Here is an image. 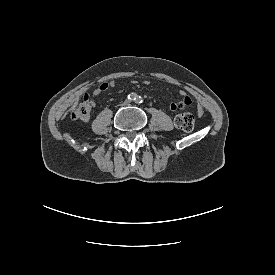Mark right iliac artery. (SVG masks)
I'll return each instance as SVG.
<instances>
[{
    "label": "right iliac artery",
    "instance_id": "1",
    "mask_svg": "<svg viewBox=\"0 0 275 275\" xmlns=\"http://www.w3.org/2000/svg\"><path fill=\"white\" fill-rule=\"evenodd\" d=\"M128 99H130V100H135V99H136V96H135V95H129V96H128Z\"/></svg>",
    "mask_w": 275,
    "mask_h": 275
}]
</instances>
